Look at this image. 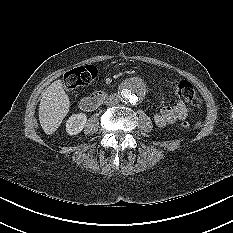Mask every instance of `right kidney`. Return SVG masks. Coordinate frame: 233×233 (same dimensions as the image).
Returning a JSON list of instances; mask_svg holds the SVG:
<instances>
[{"label":"right kidney","mask_w":233,"mask_h":233,"mask_svg":"<svg viewBox=\"0 0 233 233\" xmlns=\"http://www.w3.org/2000/svg\"><path fill=\"white\" fill-rule=\"evenodd\" d=\"M87 121L85 113L73 114L66 122V132L69 135H76L80 133Z\"/></svg>","instance_id":"ca27d5eb"}]
</instances>
